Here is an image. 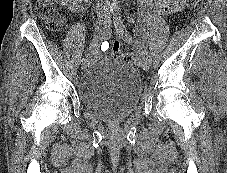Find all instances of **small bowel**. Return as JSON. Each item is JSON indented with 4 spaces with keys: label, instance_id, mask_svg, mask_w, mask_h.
<instances>
[{
    "label": "small bowel",
    "instance_id": "1",
    "mask_svg": "<svg viewBox=\"0 0 227 173\" xmlns=\"http://www.w3.org/2000/svg\"><path fill=\"white\" fill-rule=\"evenodd\" d=\"M185 0H151L158 14H170L182 9ZM91 62L98 59V52L91 50L88 53Z\"/></svg>",
    "mask_w": 227,
    "mask_h": 173
}]
</instances>
